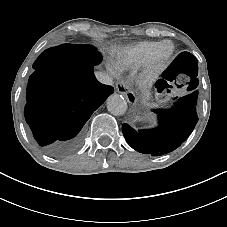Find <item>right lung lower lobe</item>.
Here are the masks:
<instances>
[{"mask_svg": "<svg viewBox=\"0 0 227 227\" xmlns=\"http://www.w3.org/2000/svg\"><path fill=\"white\" fill-rule=\"evenodd\" d=\"M27 86L25 118L43 151L66 156L81 144V129L113 93L97 81L86 65L62 44L45 50L33 64Z\"/></svg>", "mask_w": 227, "mask_h": 227, "instance_id": "98d812e1", "label": "right lung lower lobe"}]
</instances>
